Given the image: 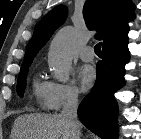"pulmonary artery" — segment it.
<instances>
[{
  "mask_svg": "<svg viewBox=\"0 0 141 139\" xmlns=\"http://www.w3.org/2000/svg\"><path fill=\"white\" fill-rule=\"evenodd\" d=\"M94 52L93 49L90 46H87L83 48L80 52V58L81 60L85 62H90L94 60Z\"/></svg>",
  "mask_w": 141,
  "mask_h": 139,
  "instance_id": "obj_1",
  "label": "pulmonary artery"
}]
</instances>
